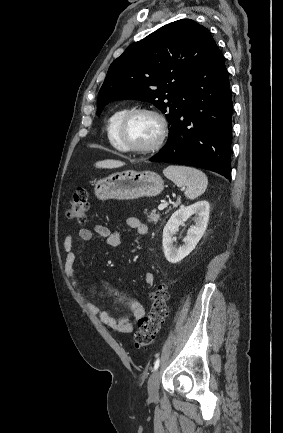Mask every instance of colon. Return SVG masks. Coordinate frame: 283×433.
I'll use <instances>...</instances> for the list:
<instances>
[{
	"instance_id": "1",
	"label": "colon",
	"mask_w": 283,
	"mask_h": 433,
	"mask_svg": "<svg viewBox=\"0 0 283 433\" xmlns=\"http://www.w3.org/2000/svg\"><path fill=\"white\" fill-rule=\"evenodd\" d=\"M88 208V191L85 188H77L69 202L68 216L78 222H85ZM150 300V311L138 322V330L134 335V345L138 349H146L152 345L168 316V288L159 285L151 293Z\"/></svg>"
}]
</instances>
